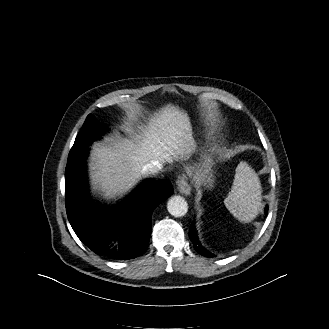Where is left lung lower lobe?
<instances>
[{"label":"left lung lower lobe","mask_w":329,"mask_h":329,"mask_svg":"<svg viewBox=\"0 0 329 329\" xmlns=\"http://www.w3.org/2000/svg\"><path fill=\"white\" fill-rule=\"evenodd\" d=\"M267 210V209H266ZM189 237L192 241V243L194 244V248L195 250L199 253L202 254L203 256L206 257H213V255L211 253H209L207 250H205L201 244L199 243L198 239H197V235H196V230L194 227V224L191 226L190 229V233H189Z\"/></svg>","instance_id":"obj_1"}]
</instances>
